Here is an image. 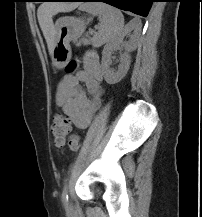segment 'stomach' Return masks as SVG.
I'll use <instances>...</instances> for the list:
<instances>
[{
	"label": "stomach",
	"mask_w": 202,
	"mask_h": 217,
	"mask_svg": "<svg viewBox=\"0 0 202 217\" xmlns=\"http://www.w3.org/2000/svg\"><path fill=\"white\" fill-rule=\"evenodd\" d=\"M86 21L82 18L65 16L55 24V39L52 51L53 64L63 68L71 59L70 42L76 41L84 32Z\"/></svg>",
	"instance_id": "0dacf381"
}]
</instances>
